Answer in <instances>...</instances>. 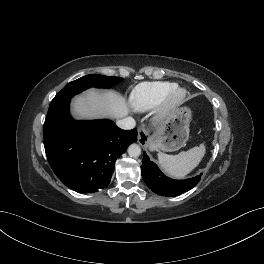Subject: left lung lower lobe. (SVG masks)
I'll use <instances>...</instances> for the list:
<instances>
[{
	"label": "left lung lower lobe",
	"mask_w": 264,
	"mask_h": 264,
	"mask_svg": "<svg viewBox=\"0 0 264 264\" xmlns=\"http://www.w3.org/2000/svg\"><path fill=\"white\" fill-rule=\"evenodd\" d=\"M142 177L146 185L155 193L163 196H177L193 188L201 179L196 176L186 180H173L165 176L158 166L143 155L141 166Z\"/></svg>",
	"instance_id": "0a47b994"
}]
</instances>
